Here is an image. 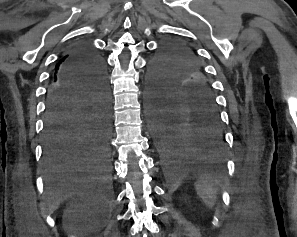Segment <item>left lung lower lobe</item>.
<instances>
[{"instance_id": "obj_1", "label": "left lung lower lobe", "mask_w": 297, "mask_h": 237, "mask_svg": "<svg viewBox=\"0 0 297 237\" xmlns=\"http://www.w3.org/2000/svg\"><path fill=\"white\" fill-rule=\"evenodd\" d=\"M148 111L157 149L169 166L223 167L225 139L215 103L180 105L149 98Z\"/></svg>"}]
</instances>
